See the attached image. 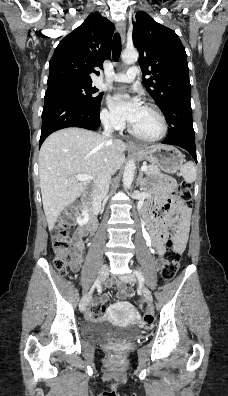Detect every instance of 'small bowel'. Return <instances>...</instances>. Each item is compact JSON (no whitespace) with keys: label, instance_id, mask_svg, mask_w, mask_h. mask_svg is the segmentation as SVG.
<instances>
[{"label":"small bowel","instance_id":"obj_1","mask_svg":"<svg viewBox=\"0 0 228 396\" xmlns=\"http://www.w3.org/2000/svg\"><path fill=\"white\" fill-rule=\"evenodd\" d=\"M166 179L156 186V190L159 192L160 206L150 211V216L158 219L157 232L152 235V245L155 248V257L159 261L165 251L164 241L166 233L169 229L175 231V244L180 250H183L186 246L188 233H189V210L183 206L173 204L168 195V184ZM180 215L179 221L175 223L177 215ZM76 260L74 268L77 269L82 259L84 252V242L78 239L75 244ZM116 283L118 287V297L121 299L113 308H117L124 305L123 299L131 294V291L120 282L110 281L109 284ZM102 304H106L109 301V296L103 294L100 298ZM87 318H91L90 311L87 312Z\"/></svg>","mask_w":228,"mask_h":396}]
</instances>
